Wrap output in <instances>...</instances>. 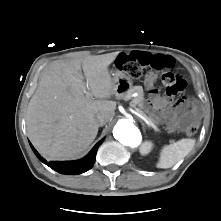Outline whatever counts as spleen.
I'll return each mask as SVG.
<instances>
[{"instance_id":"1","label":"spleen","mask_w":221,"mask_h":221,"mask_svg":"<svg viewBox=\"0 0 221 221\" xmlns=\"http://www.w3.org/2000/svg\"><path fill=\"white\" fill-rule=\"evenodd\" d=\"M196 140L184 138L173 144L165 145L160 152L158 168H170L187 156L195 146Z\"/></svg>"}]
</instances>
